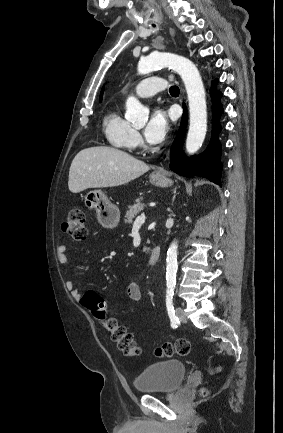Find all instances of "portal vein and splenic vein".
Instances as JSON below:
<instances>
[{
    "label": "portal vein and splenic vein",
    "mask_w": 283,
    "mask_h": 433,
    "mask_svg": "<svg viewBox=\"0 0 283 433\" xmlns=\"http://www.w3.org/2000/svg\"><path fill=\"white\" fill-rule=\"evenodd\" d=\"M145 214L144 212H141L140 217H137L135 223H140V225H142V223H145Z\"/></svg>",
    "instance_id": "1"
}]
</instances>
